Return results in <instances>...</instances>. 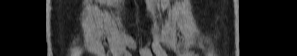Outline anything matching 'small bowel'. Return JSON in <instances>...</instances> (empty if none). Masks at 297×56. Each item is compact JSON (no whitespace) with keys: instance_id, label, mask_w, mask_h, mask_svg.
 I'll return each mask as SVG.
<instances>
[{"instance_id":"small-bowel-1","label":"small bowel","mask_w":297,"mask_h":56,"mask_svg":"<svg viewBox=\"0 0 297 56\" xmlns=\"http://www.w3.org/2000/svg\"><path fill=\"white\" fill-rule=\"evenodd\" d=\"M153 49L155 51H158V52L162 51L161 48L158 45H154ZM139 53H140L141 56H149L150 55L149 51L146 49V47H140L139 48ZM190 55H193V53H191Z\"/></svg>"}]
</instances>
